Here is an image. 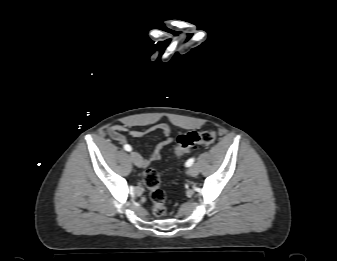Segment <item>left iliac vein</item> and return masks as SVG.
<instances>
[{
  "label": "left iliac vein",
  "instance_id": "4c4485c4",
  "mask_svg": "<svg viewBox=\"0 0 337 261\" xmlns=\"http://www.w3.org/2000/svg\"><path fill=\"white\" fill-rule=\"evenodd\" d=\"M188 173H189L191 176L195 177V176L198 175L199 169H198L197 166H192V167H190V168L188 169Z\"/></svg>",
  "mask_w": 337,
  "mask_h": 261
}]
</instances>
